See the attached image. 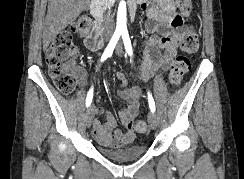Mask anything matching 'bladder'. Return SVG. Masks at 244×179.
<instances>
[{
    "label": "bladder",
    "mask_w": 244,
    "mask_h": 179,
    "mask_svg": "<svg viewBox=\"0 0 244 179\" xmlns=\"http://www.w3.org/2000/svg\"><path fill=\"white\" fill-rule=\"evenodd\" d=\"M99 149L103 156L117 161L138 159L146 152V147L138 143L127 145L125 148L118 150H108L102 147H99Z\"/></svg>",
    "instance_id": "obj_1"
}]
</instances>
